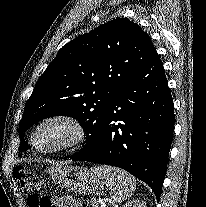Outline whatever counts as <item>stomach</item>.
<instances>
[{
    "instance_id": "stomach-1",
    "label": "stomach",
    "mask_w": 206,
    "mask_h": 207,
    "mask_svg": "<svg viewBox=\"0 0 206 207\" xmlns=\"http://www.w3.org/2000/svg\"><path fill=\"white\" fill-rule=\"evenodd\" d=\"M47 172L57 186L69 192L94 196L103 193V183L85 167L55 164Z\"/></svg>"
}]
</instances>
